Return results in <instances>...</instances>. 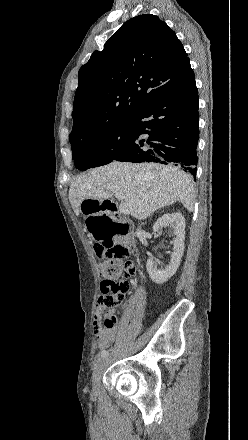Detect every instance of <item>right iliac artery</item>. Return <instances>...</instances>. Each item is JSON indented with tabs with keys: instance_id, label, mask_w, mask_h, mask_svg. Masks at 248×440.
Listing matches in <instances>:
<instances>
[{
	"instance_id": "1",
	"label": "right iliac artery",
	"mask_w": 248,
	"mask_h": 440,
	"mask_svg": "<svg viewBox=\"0 0 248 440\" xmlns=\"http://www.w3.org/2000/svg\"><path fill=\"white\" fill-rule=\"evenodd\" d=\"M107 355H108V351H107V350H103V351L100 353V356H101L102 358L106 357Z\"/></svg>"
}]
</instances>
